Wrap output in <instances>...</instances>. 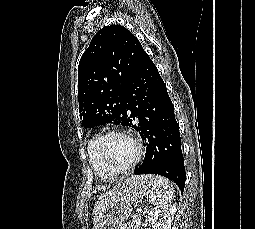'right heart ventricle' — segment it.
<instances>
[{"label":"right heart ventricle","mask_w":255,"mask_h":229,"mask_svg":"<svg viewBox=\"0 0 255 229\" xmlns=\"http://www.w3.org/2000/svg\"><path fill=\"white\" fill-rule=\"evenodd\" d=\"M98 135H93L90 140L88 141L87 145V157H88V162L93 169V171L102 179H113L116 176H118V173H113L110 170L106 169L102 163L96 158L93 147L95 144V141L97 139Z\"/></svg>","instance_id":"right-heart-ventricle-1"}]
</instances>
